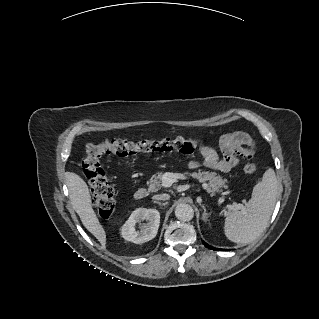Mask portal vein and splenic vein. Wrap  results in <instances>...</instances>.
Instances as JSON below:
<instances>
[{
  "mask_svg": "<svg viewBox=\"0 0 319 319\" xmlns=\"http://www.w3.org/2000/svg\"><path fill=\"white\" fill-rule=\"evenodd\" d=\"M177 178H179L178 174L171 173V172H166L162 176V187L168 188L170 187L174 182H176ZM242 205H232L230 206L231 210H236V209H241Z\"/></svg>",
  "mask_w": 319,
  "mask_h": 319,
  "instance_id": "1",
  "label": "portal vein and splenic vein"
}]
</instances>
